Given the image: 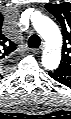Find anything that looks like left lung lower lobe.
I'll return each instance as SVG.
<instances>
[{"mask_svg": "<svg viewBox=\"0 0 71 119\" xmlns=\"http://www.w3.org/2000/svg\"><path fill=\"white\" fill-rule=\"evenodd\" d=\"M49 75L54 80L66 86L71 85V70L65 68H57L56 70L49 72Z\"/></svg>", "mask_w": 71, "mask_h": 119, "instance_id": "left-lung-lower-lobe-1", "label": "left lung lower lobe"}]
</instances>
